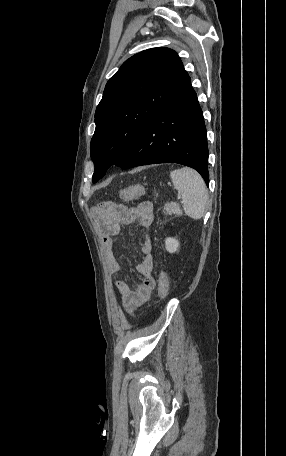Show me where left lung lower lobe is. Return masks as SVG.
I'll use <instances>...</instances> for the list:
<instances>
[{
  "label": "left lung lower lobe",
  "mask_w": 286,
  "mask_h": 456,
  "mask_svg": "<svg viewBox=\"0 0 286 456\" xmlns=\"http://www.w3.org/2000/svg\"><path fill=\"white\" fill-rule=\"evenodd\" d=\"M155 163L194 168L209 185L206 127L189 75L141 132L121 168Z\"/></svg>",
  "instance_id": "0a47b994"
}]
</instances>
